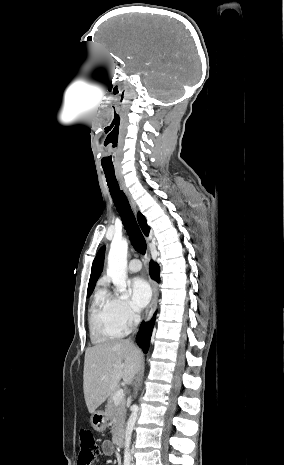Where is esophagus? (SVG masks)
Instances as JSON below:
<instances>
[{
  "mask_svg": "<svg viewBox=\"0 0 284 465\" xmlns=\"http://www.w3.org/2000/svg\"><path fill=\"white\" fill-rule=\"evenodd\" d=\"M115 175L117 177V180H118L121 188L123 189L124 193L126 194V197H128V200H129L130 205L132 206L134 212H137V207H136L135 200L133 199L132 195L130 194V192L128 191L126 186L124 185L121 172L119 170H115ZM147 242H148V239H147ZM146 260H147V262H149V260H150L148 251H147V254H146ZM149 280H150V283H151V288H152L153 293H152L151 301H150V303H149V305H148V307L146 309L145 321L150 320V318L152 317V315H153V313H154V311L156 309V306H157L158 295H159L156 282H154V280H152L150 277H149Z\"/></svg>",
  "mask_w": 284,
  "mask_h": 465,
  "instance_id": "1",
  "label": "esophagus"
}]
</instances>
